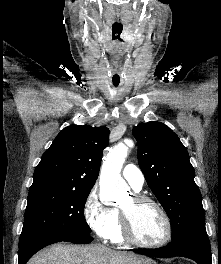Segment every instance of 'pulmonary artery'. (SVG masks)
<instances>
[{
  "label": "pulmonary artery",
  "mask_w": 221,
  "mask_h": 264,
  "mask_svg": "<svg viewBox=\"0 0 221 264\" xmlns=\"http://www.w3.org/2000/svg\"><path fill=\"white\" fill-rule=\"evenodd\" d=\"M122 176L135 191H140L144 185V174L134 164H127L122 170Z\"/></svg>",
  "instance_id": "pulmonary-artery-1"
}]
</instances>
